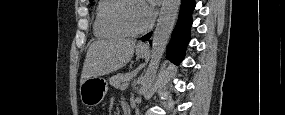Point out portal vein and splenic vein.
<instances>
[{
	"instance_id": "18ae733b",
	"label": "portal vein and splenic vein",
	"mask_w": 285,
	"mask_h": 115,
	"mask_svg": "<svg viewBox=\"0 0 285 115\" xmlns=\"http://www.w3.org/2000/svg\"><path fill=\"white\" fill-rule=\"evenodd\" d=\"M127 85H128V84H123V85L121 86V88H125Z\"/></svg>"
}]
</instances>
